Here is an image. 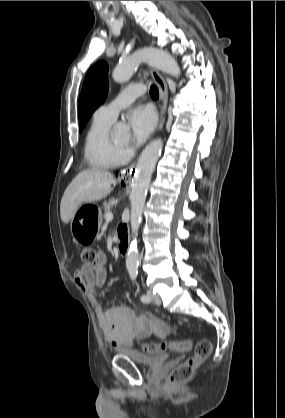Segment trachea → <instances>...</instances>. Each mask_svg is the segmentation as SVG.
Returning <instances> with one entry per match:
<instances>
[{"instance_id": "3493384b", "label": "trachea", "mask_w": 285, "mask_h": 418, "mask_svg": "<svg viewBox=\"0 0 285 418\" xmlns=\"http://www.w3.org/2000/svg\"><path fill=\"white\" fill-rule=\"evenodd\" d=\"M150 96L153 98H158L159 96L158 88L155 85H152L150 87Z\"/></svg>"}]
</instances>
